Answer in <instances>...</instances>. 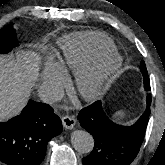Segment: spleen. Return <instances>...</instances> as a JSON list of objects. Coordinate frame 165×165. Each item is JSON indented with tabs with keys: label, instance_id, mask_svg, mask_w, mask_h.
Masks as SVG:
<instances>
[{
	"label": "spleen",
	"instance_id": "spleen-1",
	"mask_svg": "<svg viewBox=\"0 0 165 165\" xmlns=\"http://www.w3.org/2000/svg\"><path fill=\"white\" fill-rule=\"evenodd\" d=\"M113 116H114V118L120 120L125 116V111L119 110Z\"/></svg>",
	"mask_w": 165,
	"mask_h": 165
}]
</instances>
